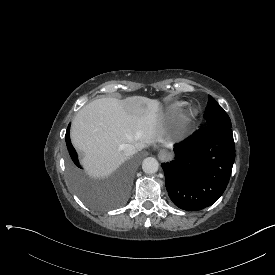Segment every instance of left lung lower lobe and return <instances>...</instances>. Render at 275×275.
Segmentation results:
<instances>
[{
  "mask_svg": "<svg viewBox=\"0 0 275 275\" xmlns=\"http://www.w3.org/2000/svg\"><path fill=\"white\" fill-rule=\"evenodd\" d=\"M174 151L175 160L162 163L172 202L186 211L211 206L225 191L235 160L231 125H206Z\"/></svg>",
  "mask_w": 275,
  "mask_h": 275,
  "instance_id": "left-lung-lower-lobe-1",
  "label": "left lung lower lobe"
}]
</instances>
